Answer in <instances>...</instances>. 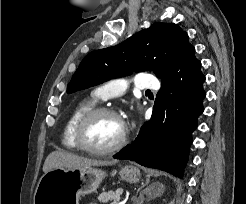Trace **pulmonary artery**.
<instances>
[{
	"instance_id": "obj_1",
	"label": "pulmonary artery",
	"mask_w": 246,
	"mask_h": 204,
	"mask_svg": "<svg viewBox=\"0 0 246 204\" xmlns=\"http://www.w3.org/2000/svg\"><path fill=\"white\" fill-rule=\"evenodd\" d=\"M128 83V80L124 78L110 80L96 88L94 96L100 100L120 96L126 91ZM134 85L140 90H157L159 88L158 80L153 75L146 73L136 75Z\"/></svg>"
}]
</instances>
